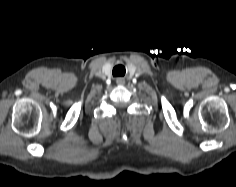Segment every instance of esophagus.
I'll list each match as a JSON object with an SVG mask.
<instances>
[{
	"label": "esophagus",
	"mask_w": 236,
	"mask_h": 187,
	"mask_svg": "<svg viewBox=\"0 0 236 187\" xmlns=\"http://www.w3.org/2000/svg\"><path fill=\"white\" fill-rule=\"evenodd\" d=\"M116 83H117V85L122 86L125 83V79L122 77H118V78H116Z\"/></svg>",
	"instance_id": "obj_1"
}]
</instances>
